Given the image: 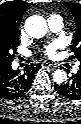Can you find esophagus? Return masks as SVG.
<instances>
[{"mask_svg":"<svg viewBox=\"0 0 81 124\" xmlns=\"http://www.w3.org/2000/svg\"><path fill=\"white\" fill-rule=\"evenodd\" d=\"M43 65L46 67V68H51V69H53V68H55L56 67V65L55 64H51V63H43Z\"/></svg>","mask_w":81,"mask_h":124,"instance_id":"1","label":"esophagus"}]
</instances>
